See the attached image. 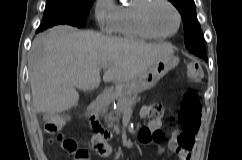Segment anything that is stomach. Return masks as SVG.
<instances>
[{"label":"stomach","instance_id":"0dacf381","mask_svg":"<svg viewBox=\"0 0 242 160\" xmlns=\"http://www.w3.org/2000/svg\"><path fill=\"white\" fill-rule=\"evenodd\" d=\"M179 63L177 57L162 58L153 63L138 77L117 83L116 91L122 96H130L153 88L157 82Z\"/></svg>","mask_w":242,"mask_h":160}]
</instances>
